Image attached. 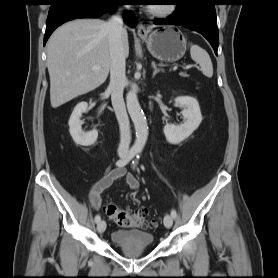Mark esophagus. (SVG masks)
Segmentation results:
<instances>
[{"label": "esophagus", "mask_w": 278, "mask_h": 278, "mask_svg": "<svg viewBox=\"0 0 278 278\" xmlns=\"http://www.w3.org/2000/svg\"><path fill=\"white\" fill-rule=\"evenodd\" d=\"M137 34L140 36V37H145L147 36L148 34V30L146 28V26L142 23H140L138 25V28H137Z\"/></svg>", "instance_id": "1"}]
</instances>
